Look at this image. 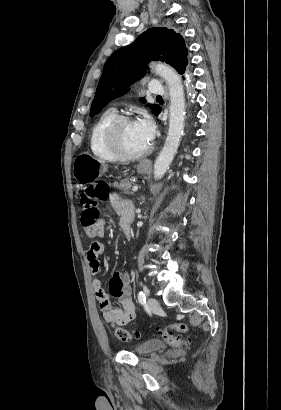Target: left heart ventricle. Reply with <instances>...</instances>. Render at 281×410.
Instances as JSON below:
<instances>
[{
	"instance_id": "b2bd125f",
	"label": "left heart ventricle",
	"mask_w": 281,
	"mask_h": 410,
	"mask_svg": "<svg viewBox=\"0 0 281 410\" xmlns=\"http://www.w3.org/2000/svg\"><path fill=\"white\" fill-rule=\"evenodd\" d=\"M119 138L122 145L130 152H139L149 146L136 129L133 121L125 122L120 126Z\"/></svg>"
}]
</instances>
